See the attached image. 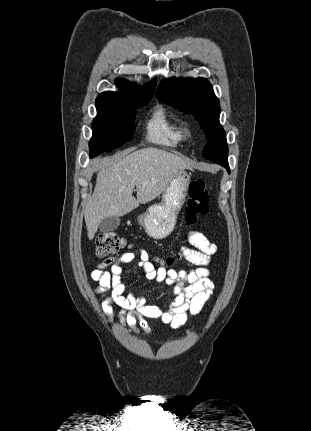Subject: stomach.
Instances as JSON below:
<instances>
[{"instance_id":"stomach-1","label":"stomach","mask_w":311,"mask_h":431,"mask_svg":"<svg viewBox=\"0 0 311 431\" xmlns=\"http://www.w3.org/2000/svg\"><path fill=\"white\" fill-rule=\"evenodd\" d=\"M191 176L189 172H178L165 192L161 196L159 204H152L145 214H140L137 221L145 229L149 237L164 239L172 233L177 223L188 194Z\"/></svg>"}]
</instances>
